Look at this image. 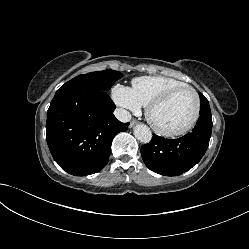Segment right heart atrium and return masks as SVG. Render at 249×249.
<instances>
[{
  "mask_svg": "<svg viewBox=\"0 0 249 249\" xmlns=\"http://www.w3.org/2000/svg\"><path fill=\"white\" fill-rule=\"evenodd\" d=\"M112 97L116 105L125 111L138 112L142 105L136 99L132 89L128 86L117 84L112 90Z\"/></svg>",
  "mask_w": 249,
  "mask_h": 249,
  "instance_id": "1",
  "label": "right heart atrium"
}]
</instances>
